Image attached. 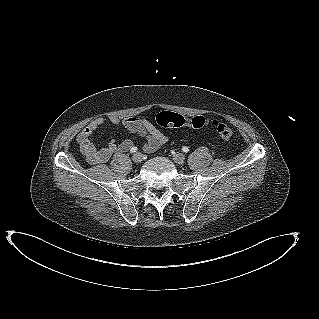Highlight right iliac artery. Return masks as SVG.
Segmentation results:
<instances>
[{
	"mask_svg": "<svg viewBox=\"0 0 319 319\" xmlns=\"http://www.w3.org/2000/svg\"><path fill=\"white\" fill-rule=\"evenodd\" d=\"M136 151H137V147H132L131 150H130L131 153H134Z\"/></svg>",
	"mask_w": 319,
	"mask_h": 319,
	"instance_id": "right-iliac-artery-1",
	"label": "right iliac artery"
}]
</instances>
